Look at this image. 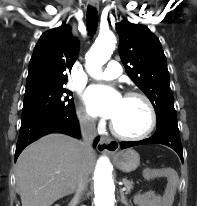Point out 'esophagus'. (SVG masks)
<instances>
[{
    "label": "esophagus",
    "mask_w": 197,
    "mask_h": 206,
    "mask_svg": "<svg viewBox=\"0 0 197 206\" xmlns=\"http://www.w3.org/2000/svg\"><path fill=\"white\" fill-rule=\"evenodd\" d=\"M90 5L94 8H98L99 2L97 0H91ZM97 148L100 151L106 152L108 154H113L119 149V143L108 137H101Z\"/></svg>",
    "instance_id": "obj_1"
}]
</instances>
